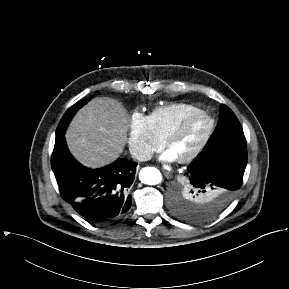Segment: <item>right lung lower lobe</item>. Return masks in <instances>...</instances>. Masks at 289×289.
<instances>
[{
  "mask_svg": "<svg viewBox=\"0 0 289 289\" xmlns=\"http://www.w3.org/2000/svg\"><path fill=\"white\" fill-rule=\"evenodd\" d=\"M136 166L137 163L119 158L106 167L87 169L68 151L64 133L56 137L51 159L62 198L95 224L113 222L127 214Z\"/></svg>",
  "mask_w": 289,
  "mask_h": 289,
  "instance_id": "obj_1",
  "label": "right lung lower lobe"
}]
</instances>
